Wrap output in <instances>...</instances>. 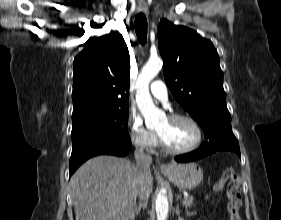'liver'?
I'll list each match as a JSON object with an SVG mask.
<instances>
[{
	"mask_svg": "<svg viewBox=\"0 0 281 220\" xmlns=\"http://www.w3.org/2000/svg\"><path fill=\"white\" fill-rule=\"evenodd\" d=\"M139 171L114 156L89 159L70 180L76 220H134ZM148 178L153 184L151 172Z\"/></svg>",
	"mask_w": 281,
	"mask_h": 220,
	"instance_id": "obj_1",
	"label": "liver"
}]
</instances>
